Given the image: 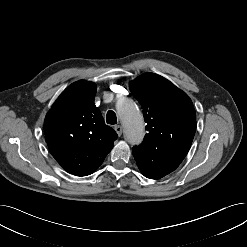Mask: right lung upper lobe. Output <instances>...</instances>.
Instances as JSON below:
<instances>
[{
  "instance_id": "1",
  "label": "right lung upper lobe",
  "mask_w": 247,
  "mask_h": 247,
  "mask_svg": "<svg viewBox=\"0 0 247 247\" xmlns=\"http://www.w3.org/2000/svg\"><path fill=\"white\" fill-rule=\"evenodd\" d=\"M96 85L77 81L68 86L47 113L46 142L52 156L70 174L93 173L113 148L117 133L94 104Z\"/></svg>"
}]
</instances>
